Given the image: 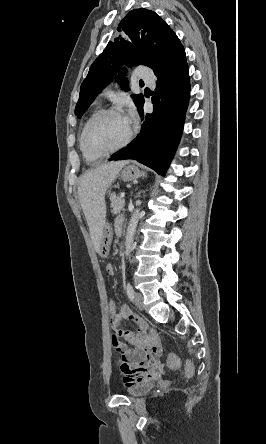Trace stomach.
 Returning <instances> with one entry per match:
<instances>
[{
	"label": "stomach",
	"instance_id": "1",
	"mask_svg": "<svg viewBox=\"0 0 266 444\" xmlns=\"http://www.w3.org/2000/svg\"><path fill=\"white\" fill-rule=\"evenodd\" d=\"M141 175H142V173L140 172V170L137 166H135L134 164H128L121 170L119 177L123 181H131V180L137 179ZM112 237H113V234H112L111 227L108 224H105L104 228H103L102 241H101V246H100V251H99V253L101 255L108 254V249L111 244ZM104 248L106 250H104Z\"/></svg>",
	"mask_w": 266,
	"mask_h": 444
}]
</instances>
